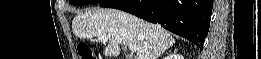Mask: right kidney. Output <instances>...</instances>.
<instances>
[{
	"mask_svg": "<svg viewBox=\"0 0 261 59\" xmlns=\"http://www.w3.org/2000/svg\"><path fill=\"white\" fill-rule=\"evenodd\" d=\"M167 59H183V57L180 54H175L167 57Z\"/></svg>",
	"mask_w": 261,
	"mask_h": 59,
	"instance_id": "1",
	"label": "right kidney"
}]
</instances>
